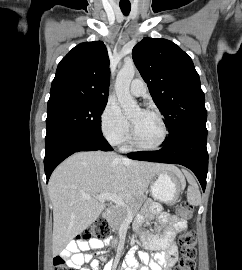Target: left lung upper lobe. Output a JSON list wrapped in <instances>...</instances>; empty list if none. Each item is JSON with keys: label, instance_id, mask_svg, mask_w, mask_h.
I'll list each match as a JSON object with an SVG mask.
<instances>
[{"label": "left lung upper lobe", "instance_id": "obj_1", "mask_svg": "<svg viewBox=\"0 0 242 270\" xmlns=\"http://www.w3.org/2000/svg\"><path fill=\"white\" fill-rule=\"evenodd\" d=\"M132 57L166 119L168 138L187 127L206 125L205 97L189 55L169 40L144 38Z\"/></svg>", "mask_w": 242, "mask_h": 270}]
</instances>
